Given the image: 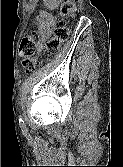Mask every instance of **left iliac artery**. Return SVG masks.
<instances>
[{"label": "left iliac artery", "instance_id": "left-iliac-artery-1", "mask_svg": "<svg viewBox=\"0 0 123 167\" xmlns=\"http://www.w3.org/2000/svg\"><path fill=\"white\" fill-rule=\"evenodd\" d=\"M18 121H19L20 127L25 128L24 120L21 117H19Z\"/></svg>", "mask_w": 123, "mask_h": 167}]
</instances>
